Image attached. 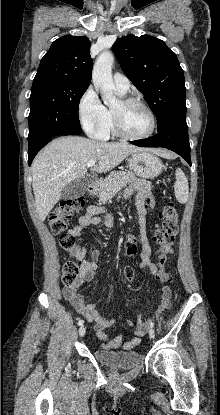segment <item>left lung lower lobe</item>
Wrapping results in <instances>:
<instances>
[{"mask_svg": "<svg viewBox=\"0 0 220 415\" xmlns=\"http://www.w3.org/2000/svg\"><path fill=\"white\" fill-rule=\"evenodd\" d=\"M142 147H163L172 150L182 156L191 166L190 144L186 112L172 115L158 127L157 135L131 142Z\"/></svg>", "mask_w": 220, "mask_h": 415, "instance_id": "1", "label": "left lung lower lobe"}]
</instances>
